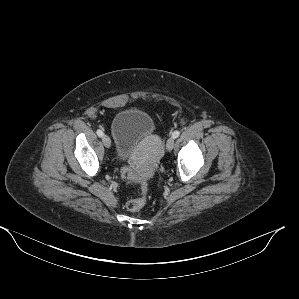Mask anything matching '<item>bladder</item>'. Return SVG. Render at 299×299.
I'll list each match as a JSON object with an SVG mask.
<instances>
[{
	"mask_svg": "<svg viewBox=\"0 0 299 299\" xmlns=\"http://www.w3.org/2000/svg\"><path fill=\"white\" fill-rule=\"evenodd\" d=\"M154 127L152 117L142 110L127 109L118 113L111 124L117 159L127 160L131 151L153 134Z\"/></svg>",
	"mask_w": 299,
	"mask_h": 299,
	"instance_id": "bladder-1",
	"label": "bladder"
}]
</instances>
